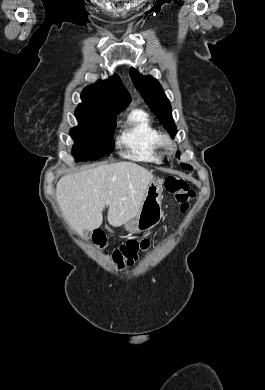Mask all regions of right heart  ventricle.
Segmentation results:
<instances>
[{
	"label": "right heart ventricle",
	"instance_id": "right-heart-ventricle-1",
	"mask_svg": "<svg viewBox=\"0 0 265 390\" xmlns=\"http://www.w3.org/2000/svg\"><path fill=\"white\" fill-rule=\"evenodd\" d=\"M160 132L150 115L141 108L133 109L118 138L122 154L130 159L160 162Z\"/></svg>",
	"mask_w": 265,
	"mask_h": 390
}]
</instances>
